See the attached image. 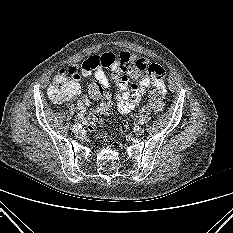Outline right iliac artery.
Here are the masks:
<instances>
[{"instance_id": "1", "label": "right iliac artery", "mask_w": 233, "mask_h": 233, "mask_svg": "<svg viewBox=\"0 0 233 233\" xmlns=\"http://www.w3.org/2000/svg\"><path fill=\"white\" fill-rule=\"evenodd\" d=\"M81 128V124L77 123L72 127V132H77Z\"/></svg>"}]
</instances>
